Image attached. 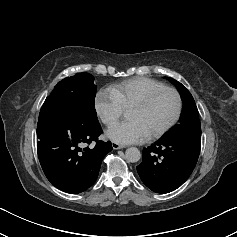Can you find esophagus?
<instances>
[{
  "instance_id": "1",
  "label": "esophagus",
  "mask_w": 237,
  "mask_h": 237,
  "mask_svg": "<svg viewBox=\"0 0 237 237\" xmlns=\"http://www.w3.org/2000/svg\"><path fill=\"white\" fill-rule=\"evenodd\" d=\"M112 147L115 150L124 148V146H122V145H120L119 143H116V142H112Z\"/></svg>"
}]
</instances>
